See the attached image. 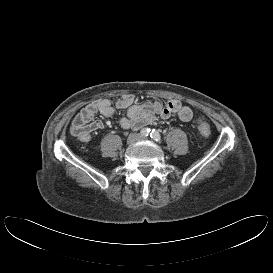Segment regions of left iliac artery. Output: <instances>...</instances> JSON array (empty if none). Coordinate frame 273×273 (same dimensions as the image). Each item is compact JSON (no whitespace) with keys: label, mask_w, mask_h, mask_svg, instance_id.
<instances>
[{"label":"left iliac artery","mask_w":273,"mask_h":273,"mask_svg":"<svg viewBox=\"0 0 273 273\" xmlns=\"http://www.w3.org/2000/svg\"><path fill=\"white\" fill-rule=\"evenodd\" d=\"M150 137L155 140L156 142H160L161 141V136L159 134V132L155 129H153L150 133Z\"/></svg>","instance_id":"left-iliac-artery-1"}]
</instances>
